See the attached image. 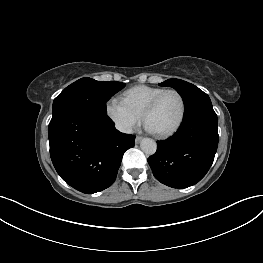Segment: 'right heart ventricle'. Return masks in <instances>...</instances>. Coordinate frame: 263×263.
Instances as JSON below:
<instances>
[{
  "label": "right heart ventricle",
  "mask_w": 263,
  "mask_h": 263,
  "mask_svg": "<svg viewBox=\"0 0 263 263\" xmlns=\"http://www.w3.org/2000/svg\"><path fill=\"white\" fill-rule=\"evenodd\" d=\"M164 88L138 85L126 90L122 94V102L134 113L142 116L148 103Z\"/></svg>",
  "instance_id": "right-heart-ventricle-1"
}]
</instances>
